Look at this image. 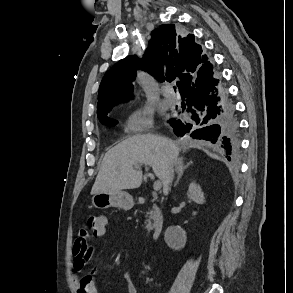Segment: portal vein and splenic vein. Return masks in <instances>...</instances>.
<instances>
[{"mask_svg":"<svg viewBox=\"0 0 293 293\" xmlns=\"http://www.w3.org/2000/svg\"><path fill=\"white\" fill-rule=\"evenodd\" d=\"M161 186H162L161 182L159 180H157L154 182L153 188L155 191H158L161 189Z\"/></svg>","mask_w":293,"mask_h":293,"instance_id":"1","label":"portal vein and splenic vein"}]
</instances>
